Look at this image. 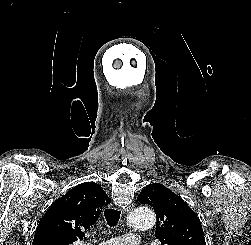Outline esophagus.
<instances>
[{
  "label": "esophagus",
  "mask_w": 251,
  "mask_h": 245,
  "mask_svg": "<svg viewBox=\"0 0 251 245\" xmlns=\"http://www.w3.org/2000/svg\"><path fill=\"white\" fill-rule=\"evenodd\" d=\"M134 208V204L131 203L130 205H128V207L126 209L123 210V214H127L129 213L130 211H132Z\"/></svg>",
  "instance_id": "esophagus-1"
}]
</instances>
